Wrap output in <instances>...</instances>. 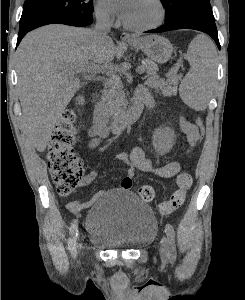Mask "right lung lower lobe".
Wrapping results in <instances>:
<instances>
[{"label": "right lung lower lobe", "mask_w": 245, "mask_h": 300, "mask_svg": "<svg viewBox=\"0 0 245 300\" xmlns=\"http://www.w3.org/2000/svg\"><path fill=\"white\" fill-rule=\"evenodd\" d=\"M92 22H93V17L82 18V19H78V20H61V21L55 22L54 24H65V25L77 26L78 27V26L90 25ZM26 33L27 32L19 33L18 40H17V45L20 43V41L26 35Z\"/></svg>", "instance_id": "1"}]
</instances>
